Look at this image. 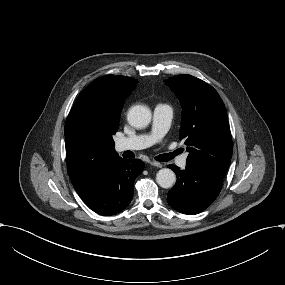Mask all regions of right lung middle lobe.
<instances>
[{"label": "right lung middle lobe", "instance_id": "right-lung-middle-lobe-1", "mask_svg": "<svg viewBox=\"0 0 285 285\" xmlns=\"http://www.w3.org/2000/svg\"><path fill=\"white\" fill-rule=\"evenodd\" d=\"M65 131H68L69 133H79L73 120L66 121Z\"/></svg>", "mask_w": 285, "mask_h": 285}]
</instances>
